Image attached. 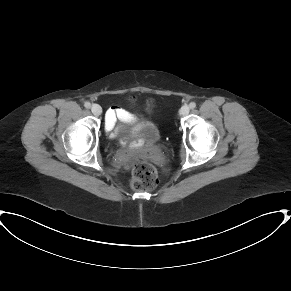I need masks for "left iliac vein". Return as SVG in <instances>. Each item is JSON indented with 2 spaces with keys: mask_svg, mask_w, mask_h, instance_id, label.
<instances>
[{
  "mask_svg": "<svg viewBox=\"0 0 291 291\" xmlns=\"http://www.w3.org/2000/svg\"><path fill=\"white\" fill-rule=\"evenodd\" d=\"M189 111H190L189 106L184 105V106L180 109L179 113H180V115H182V116H186V115H188Z\"/></svg>",
  "mask_w": 291,
  "mask_h": 291,
  "instance_id": "1",
  "label": "left iliac vein"
}]
</instances>
